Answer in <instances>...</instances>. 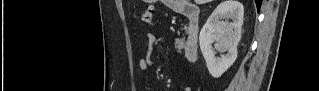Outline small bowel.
I'll use <instances>...</instances> for the list:
<instances>
[{
    "label": "small bowel",
    "instance_id": "c3829d8e",
    "mask_svg": "<svg viewBox=\"0 0 319 91\" xmlns=\"http://www.w3.org/2000/svg\"><path fill=\"white\" fill-rule=\"evenodd\" d=\"M147 56L142 58L139 62L141 70L146 71L152 64V53L160 42V38L155 33L147 35Z\"/></svg>",
    "mask_w": 319,
    "mask_h": 91
}]
</instances>
